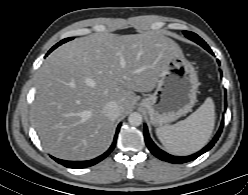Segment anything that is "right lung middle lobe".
<instances>
[{
  "mask_svg": "<svg viewBox=\"0 0 248 195\" xmlns=\"http://www.w3.org/2000/svg\"><path fill=\"white\" fill-rule=\"evenodd\" d=\"M72 39H73V37L63 39L62 41H60L59 43H57L54 47H52V49H51L48 53H50L51 51H53L55 48H57V47L60 46L61 44L65 43V42H67V41H70V40H72Z\"/></svg>",
  "mask_w": 248,
  "mask_h": 195,
  "instance_id": "dd1d6c3e",
  "label": "right lung middle lobe"
}]
</instances>
